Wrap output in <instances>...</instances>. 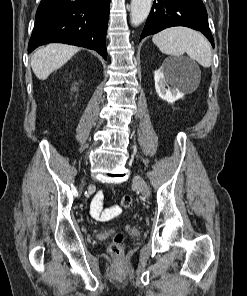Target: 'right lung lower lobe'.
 <instances>
[{
  "mask_svg": "<svg viewBox=\"0 0 247 296\" xmlns=\"http://www.w3.org/2000/svg\"><path fill=\"white\" fill-rule=\"evenodd\" d=\"M110 0H41L28 52L59 42L82 46L107 57Z\"/></svg>",
  "mask_w": 247,
  "mask_h": 296,
  "instance_id": "98d812e1",
  "label": "right lung lower lobe"
}]
</instances>
